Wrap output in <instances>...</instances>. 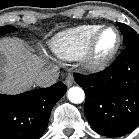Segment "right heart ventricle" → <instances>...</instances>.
<instances>
[{
	"label": "right heart ventricle",
	"mask_w": 139,
	"mask_h": 139,
	"mask_svg": "<svg viewBox=\"0 0 139 139\" xmlns=\"http://www.w3.org/2000/svg\"><path fill=\"white\" fill-rule=\"evenodd\" d=\"M103 26L86 24L64 30L49 42L51 51L60 59L75 61L81 59L94 34Z\"/></svg>",
	"instance_id": "e07e8e85"
}]
</instances>
